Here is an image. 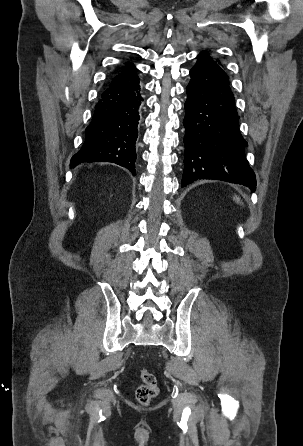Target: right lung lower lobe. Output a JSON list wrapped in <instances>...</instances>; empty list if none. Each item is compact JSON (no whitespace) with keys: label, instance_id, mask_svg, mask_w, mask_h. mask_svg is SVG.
Segmentation results:
<instances>
[{"label":"right lung lower lobe","instance_id":"right-lung-lower-lobe-1","mask_svg":"<svg viewBox=\"0 0 303 446\" xmlns=\"http://www.w3.org/2000/svg\"><path fill=\"white\" fill-rule=\"evenodd\" d=\"M143 98L139 77L111 82L96 105L82 148L70 165L113 162L135 173V143Z\"/></svg>","mask_w":303,"mask_h":446}]
</instances>
